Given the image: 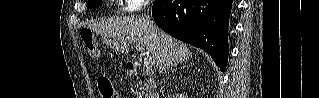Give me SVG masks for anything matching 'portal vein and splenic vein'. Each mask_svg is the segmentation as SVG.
Returning a JSON list of instances; mask_svg holds the SVG:
<instances>
[{"instance_id":"1","label":"portal vein and splenic vein","mask_w":319,"mask_h":98,"mask_svg":"<svg viewBox=\"0 0 319 98\" xmlns=\"http://www.w3.org/2000/svg\"><path fill=\"white\" fill-rule=\"evenodd\" d=\"M135 48H136L137 51H140V52H143V51H144L143 46H141V45H139V44H136ZM154 65H155V63H154L152 57L149 56L148 53H145L144 67H145L146 69H150V68H152Z\"/></svg>"}]
</instances>
